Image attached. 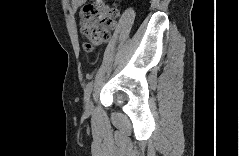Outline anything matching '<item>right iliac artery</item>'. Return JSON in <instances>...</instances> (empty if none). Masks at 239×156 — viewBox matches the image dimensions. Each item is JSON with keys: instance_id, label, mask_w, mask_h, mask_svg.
<instances>
[{"instance_id": "1", "label": "right iliac artery", "mask_w": 239, "mask_h": 156, "mask_svg": "<svg viewBox=\"0 0 239 156\" xmlns=\"http://www.w3.org/2000/svg\"><path fill=\"white\" fill-rule=\"evenodd\" d=\"M93 83L89 82L86 86L85 93H84V100L87 101L90 97L91 91H92Z\"/></svg>"}]
</instances>
